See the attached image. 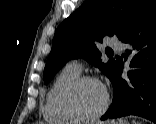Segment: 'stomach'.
Returning a JSON list of instances; mask_svg holds the SVG:
<instances>
[{"label":"stomach","instance_id":"stomach-1","mask_svg":"<svg viewBox=\"0 0 156 124\" xmlns=\"http://www.w3.org/2000/svg\"><path fill=\"white\" fill-rule=\"evenodd\" d=\"M105 124H128V123L123 120H118V121H108Z\"/></svg>","mask_w":156,"mask_h":124}]
</instances>
